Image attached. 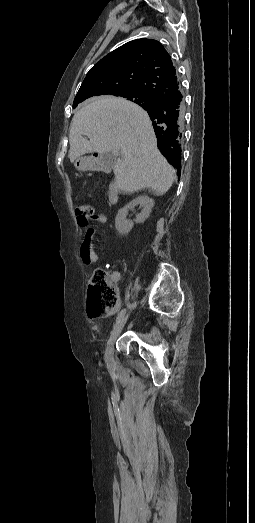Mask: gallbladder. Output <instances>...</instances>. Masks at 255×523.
<instances>
[{
  "mask_svg": "<svg viewBox=\"0 0 255 523\" xmlns=\"http://www.w3.org/2000/svg\"><path fill=\"white\" fill-rule=\"evenodd\" d=\"M100 158L104 164H107V166H113V164H115V158L113 154H110V152H104V154H101Z\"/></svg>",
  "mask_w": 255,
  "mask_h": 523,
  "instance_id": "gallbladder-1",
  "label": "gallbladder"
}]
</instances>
